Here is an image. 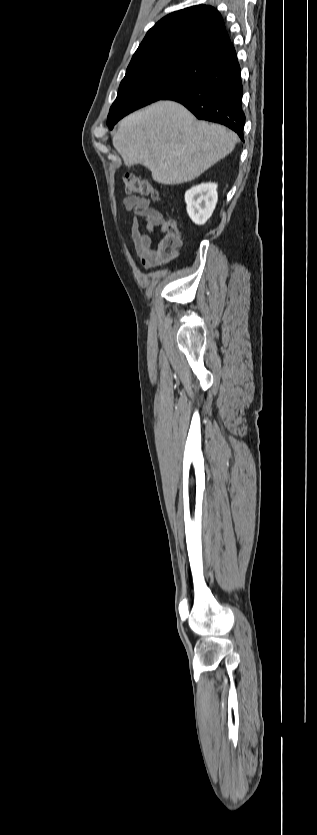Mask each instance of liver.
<instances>
[{
  "label": "liver",
  "instance_id": "obj_1",
  "mask_svg": "<svg viewBox=\"0 0 317 835\" xmlns=\"http://www.w3.org/2000/svg\"><path fill=\"white\" fill-rule=\"evenodd\" d=\"M238 141L224 126L197 121L181 104L158 101L121 120L113 146L127 166L142 164L158 183L191 181Z\"/></svg>",
  "mask_w": 317,
  "mask_h": 835
}]
</instances>
